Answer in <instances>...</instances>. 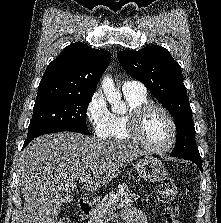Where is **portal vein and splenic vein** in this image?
I'll list each match as a JSON object with an SVG mask.
<instances>
[{
	"label": "portal vein and splenic vein",
	"instance_id": "portal-vein-and-splenic-vein-1",
	"mask_svg": "<svg viewBox=\"0 0 221 223\" xmlns=\"http://www.w3.org/2000/svg\"><path fill=\"white\" fill-rule=\"evenodd\" d=\"M87 181H89V177H88V176L82 177V178L80 179V182H81V183H85V182H87Z\"/></svg>",
	"mask_w": 221,
	"mask_h": 223
}]
</instances>
